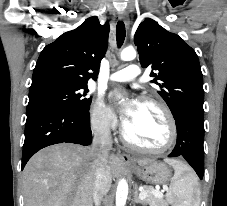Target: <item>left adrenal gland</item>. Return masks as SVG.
<instances>
[{
    "mask_svg": "<svg viewBox=\"0 0 227 206\" xmlns=\"http://www.w3.org/2000/svg\"><path fill=\"white\" fill-rule=\"evenodd\" d=\"M138 194H139L138 187L136 185L135 186V192H134V199H133V201H134V203L144 204V202L138 197Z\"/></svg>",
    "mask_w": 227,
    "mask_h": 206,
    "instance_id": "1",
    "label": "left adrenal gland"
}]
</instances>
